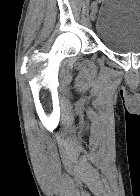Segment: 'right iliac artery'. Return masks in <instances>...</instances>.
<instances>
[{
  "mask_svg": "<svg viewBox=\"0 0 140 196\" xmlns=\"http://www.w3.org/2000/svg\"><path fill=\"white\" fill-rule=\"evenodd\" d=\"M94 6H95V3L93 2V3H92V8H93Z\"/></svg>",
  "mask_w": 140,
  "mask_h": 196,
  "instance_id": "obj_1",
  "label": "right iliac artery"
}]
</instances>
